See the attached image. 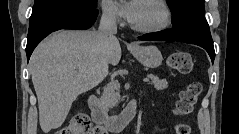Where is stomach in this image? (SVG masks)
I'll list each match as a JSON object with an SVG mask.
<instances>
[{
    "label": "stomach",
    "mask_w": 239,
    "mask_h": 134,
    "mask_svg": "<svg viewBox=\"0 0 239 134\" xmlns=\"http://www.w3.org/2000/svg\"><path fill=\"white\" fill-rule=\"evenodd\" d=\"M133 56L147 68H157L161 65L163 57L156 46H136L130 49Z\"/></svg>",
    "instance_id": "stomach-1"
}]
</instances>
